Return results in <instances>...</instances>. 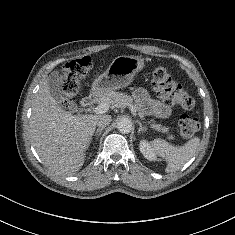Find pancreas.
Wrapping results in <instances>:
<instances>
[{
    "label": "pancreas",
    "mask_w": 235,
    "mask_h": 235,
    "mask_svg": "<svg viewBox=\"0 0 235 235\" xmlns=\"http://www.w3.org/2000/svg\"><path fill=\"white\" fill-rule=\"evenodd\" d=\"M99 103H107L109 106H112V107L124 108L125 106H128L129 104H133V99L125 93L110 91L100 97ZM135 108L137 109V107ZM139 116L141 118L144 117L142 112H139ZM153 128H155L157 131L168 133V128L162 127L159 124L153 125ZM168 139L173 140L174 136L171 134L168 136Z\"/></svg>",
    "instance_id": "obj_1"
}]
</instances>
